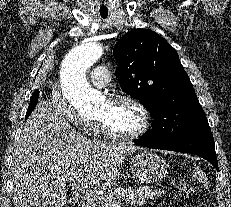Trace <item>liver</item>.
Segmentation results:
<instances>
[{"label": "liver", "mask_w": 231, "mask_h": 207, "mask_svg": "<svg viewBox=\"0 0 231 207\" xmlns=\"http://www.w3.org/2000/svg\"><path fill=\"white\" fill-rule=\"evenodd\" d=\"M140 150L134 145L87 139L56 107L40 101L13 153L14 207H63L66 179L95 190L111 188L126 156Z\"/></svg>", "instance_id": "6515ba94"}]
</instances>
